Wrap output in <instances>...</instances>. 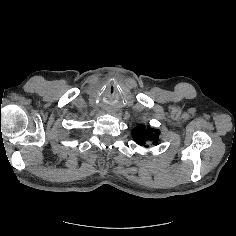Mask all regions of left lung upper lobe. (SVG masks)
Here are the masks:
<instances>
[{
	"label": "left lung upper lobe",
	"instance_id": "obj_1",
	"mask_svg": "<svg viewBox=\"0 0 236 236\" xmlns=\"http://www.w3.org/2000/svg\"><path fill=\"white\" fill-rule=\"evenodd\" d=\"M133 139L141 146H148V143L156 144L158 142L159 131L146 128L144 125H138L132 130Z\"/></svg>",
	"mask_w": 236,
	"mask_h": 236
}]
</instances>
